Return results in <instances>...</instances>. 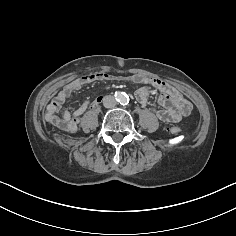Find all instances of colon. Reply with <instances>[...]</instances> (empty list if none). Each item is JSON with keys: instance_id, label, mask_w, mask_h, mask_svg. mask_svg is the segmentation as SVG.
I'll return each mask as SVG.
<instances>
[{"instance_id": "5ec220e1", "label": "colon", "mask_w": 236, "mask_h": 236, "mask_svg": "<svg viewBox=\"0 0 236 236\" xmlns=\"http://www.w3.org/2000/svg\"><path fill=\"white\" fill-rule=\"evenodd\" d=\"M179 131H180V130H179L177 127H172V128H171V132H172V133H179Z\"/></svg>"}]
</instances>
